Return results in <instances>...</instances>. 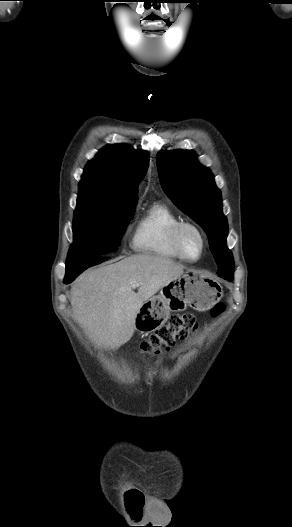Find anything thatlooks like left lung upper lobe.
I'll use <instances>...</instances> for the list:
<instances>
[{"mask_svg":"<svg viewBox=\"0 0 292 527\" xmlns=\"http://www.w3.org/2000/svg\"><path fill=\"white\" fill-rule=\"evenodd\" d=\"M157 167L166 194L206 232L218 275L232 278L234 261L226 246L227 220L222 213L221 192L210 170L199 165L190 150L161 151Z\"/></svg>","mask_w":292,"mask_h":527,"instance_id":"left-lung-upper-lobe-1","label":"left lung upper lobe"}]
</instances>
